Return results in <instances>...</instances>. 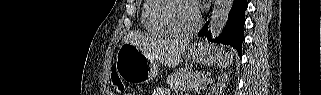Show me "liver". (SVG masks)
Wrapping results in <instances>:
<instances>
[{"instance_id": "obj_1", "label": "liver", "mask_w": 321, "mask_h": 95, "mask_svg": "<svg viewBox=\"0 0 321 95\" xmlns=\"http://www.w3.org/2000/svg\"><path fill=\"white\" fill-rule=\"evenodd\" d=\"M123 43H131L152 59L169 66H177L189 45V40H155L140 32H129L123 39Z\"/></svg>"}]
</instances>
